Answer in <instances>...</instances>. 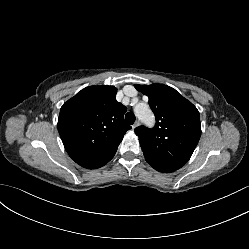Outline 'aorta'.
Returning <instances> with one entry per match:
<instances>
[{
    "label": "aorta",
    "mask_w": 249,
    "mask_h": 249,
    "mask_svg": "<svg viewBox=\"0 0 249 249\" xmlns=\"http://www.w3.org/2000/svg\"><path fill=\"white\" fill-rule=\"evenodd\" d=\"M136 116L145 123H153L154 116L149 109V107L145 104H140L135 108Z\"/></svg>",
    "instance_id": "aorta-1"
}]
</instances>
